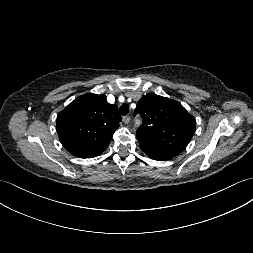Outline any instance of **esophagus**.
I'll list each match as a JSON object with an SVG mask.
<instances>
[{
	"label": "esophagus",
	"mask_w": 253,
	"mask_h": 253,
	"mask_svg": "<svg viewBox=\"0 0 253 253\" xmlns=\"http://www.w3.org/2000/svg\"><path fill=\"white\" fill-rule=\"evenodd\" d=\"M123 122H124L125 124H128V123L130 122V116H125V117L123 118Z\"/></svg>",
	"instance_id": "34e87169"
}]
</instances>
